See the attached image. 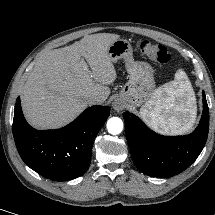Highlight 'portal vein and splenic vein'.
Returning a JSON list of instances; mask_svg holds the SVG:
<instances>
[{
  "mask_svg": "<svg viewBox=\"0 0 215 215\" xmlns=\"http://www.w3.org/2000/svg\"><path fill=\"white\" fill-rule=\"evenodd\" d=\"M81 63H82L83 69L87 72H90L87 63L83 60L81 61Z\"/></svg>",
  "mask_w": 215,
  "mask_h": 215,
  "instance_id": "obj_1",
  "label": "portal vein and splenic vein"
}]
</instances>
